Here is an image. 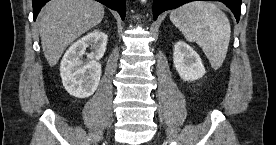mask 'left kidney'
Here are the masks:
<instances>
[{"instance_id": "5707ae66", "label": "left kidney", "mask_w": 276, "mask_h": 145, "mask_svg": "<svg viewBox=\"0 0 276 145\" xmlns=\"http://www.w3.org/2000/svg\"><path fill=\"white\" fill-rule=\"evenodd\" d=\"M173 63L184 81H194L205 74L200 56L184 41H178L174 45Z\"/></svg>"}]
</instances>
